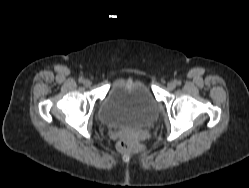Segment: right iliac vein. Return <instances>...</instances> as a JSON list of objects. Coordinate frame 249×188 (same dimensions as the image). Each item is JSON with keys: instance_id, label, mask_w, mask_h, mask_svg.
Masks as SVG:
<instances>
[{"instance_id": "obj_1", "label": "right iliac vein", "mask_w": 249, "mask_h": 188, "mask_svg": "<svg viewBox=\"0 0 249 188\" xmlns=\"http://www.w3.org/2000/svg\"><path fill=\"white\" fill-rule=\"evenodd\" d=\"M84 85L86 86V87H90L91 86V81L90 80H85L84 81Z\"/></svg>"}]
</instances>
